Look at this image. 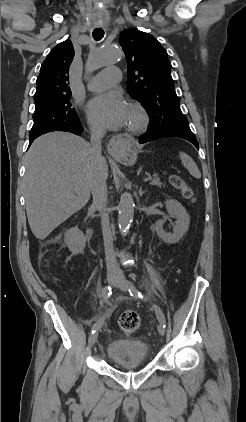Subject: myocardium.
<instances>
[{
	"label": "myocardium",
	"instance_id": "1",
	"mask_svg": "<svg viewBox=\"0 0 246 422\" xmlns=\"http://www.w3.org/2000/svg\"><path fill=\"white\" fill-rule=\"evenodd\" d=\"M130 111L134 116V120L128 124L127 131L132 134L144 132L150 123V118L146 109L139 103H133L130 105Z\"/></svg>",
	"mask_w": 246,
	"mask_h": 422
}]
</instances>
